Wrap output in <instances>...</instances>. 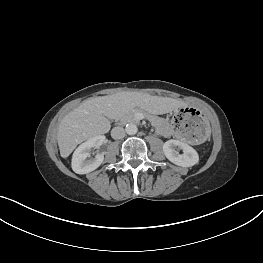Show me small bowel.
Returning a JSON list of instances; mask_svg holds the SVG:
<instances>
[{
  "label": "small bowel",
  "mask_w": 263,
  "mask_h": 263,
  "mask_svg": "<svg viewBox=\"0 0 263 263\" xmlns=\"http://www.w3.org/2000/svg\"><path fill=\"white\" fill-rule=\"evenodd\" d=\"M158 131L161 135L169 137L172 135V130L168 125H161L158 128Z\"/></svg>",
  "instance_id": "1"
}]
</instances>
